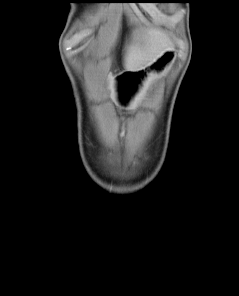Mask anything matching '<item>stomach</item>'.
I'll use <instances>...</instances> for the list:
<instances>
[{
	"mask_svg": "<svg viewBox=\"0 0 239 296\" xmlns=\"http://www.w3.org/2000/svg\"><path fill=\"white\" fill-rule=\"evenodd\" d=\"M174 53L173 50H168L164 52L162 55H160L153 63L149 65V68L154 70V71H159L163 68V66L168 63ZM119 79H129L130 75L129 74H119L118 75ZM142 86L141 85H131L130 89L128 85H117L116 89H106V94H110L111 98H125L126 94H131L132 90H141ZM123 108H130L131 104L130 103H123L122 104Z\"/></svg>",
	"mask_w": 239,
	"mask_h": 296,
	"instance_id": "obj_1",
	"label": "stomach"
}]
</instances>
